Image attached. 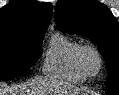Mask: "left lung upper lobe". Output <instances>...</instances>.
Wrapping results in <instances>:
<instances>
[{"label":"left lung upper lobe","instance_id":"obj_1","mask_svg":"<svg viewBox=\"0 0 119 95\" xmlns=\"http://www.w3.org/2000/svg\"><path fill=\"white\" fill-rule=\"evenodd\" d=\"M56 29L89 38L98 45L107 66V95H119V24L96 0H59Z\"/></svg>","mask_w":119,"mask_h":95}]
</instances>
